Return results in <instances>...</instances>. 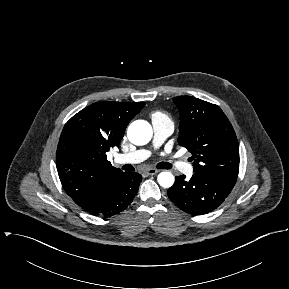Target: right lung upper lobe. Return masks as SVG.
<instances>
[{
    "instance_id": "1",
    "label": "right lung upper lobe",
    "mask_w": 289,
    "mask_h": 289,
    "mask_svg": "<svg viewBox=\"0 0 289 289\" xmlns=\"http://www.w3.org/2000/svg\"><path fill=\"white\" fill-rule=\"evenodd\" d=\"M144 106V102H96L65 124L56 165L64 190L77 205L95 199L124 173L111 165L106 152L119 146L127 125Z\"/></svg>"
}]
</instances>
